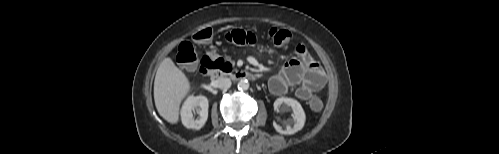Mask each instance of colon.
Segmentation results:
<instances>
[{
  "label": "colon",
  "instance_id": "1",
  "mask_svg": "<svg viewBox=\"0 0 499 154\" xmlns=\"http://www.w3.org/2000/svg\"><path fill=\"white\" fill-rule=\"evenodd\" d=\"M269 38L280 48H288L292 43V34L284 29L271 28L269 30ZM212 37V30L205 28L195 33L191 40L184 41L179 44L177 49V62L184 68L192 69L197 64V55L195 51V43L204 42ZM209 64L219 70H227L229 64L218 58H208ZM310 108L314 111H320L323 108L322 100L314 96L309 101Z\"/></svg>",
  "mask_w": 499,
  "mask_h": 154
}]
</instances>
